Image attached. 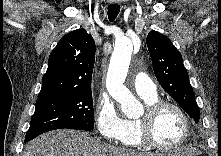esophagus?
Masks as SVG:
<instances>
[{
    "label": "esophagus",
    "instance_id": "1",
    "mask_svg": "<svg viewBox=\"0 0 221 156\" xmlns=\"http://www.w3.org/2000/svg\"><path fill=\"white\" fill-rule=\"evenodd\" d=\"M109 1H110V3H113V4L118 3V0H109Z\"/></svg>",
    "mask_w": 221,
    "mask_h": 156
}]
</instances>
